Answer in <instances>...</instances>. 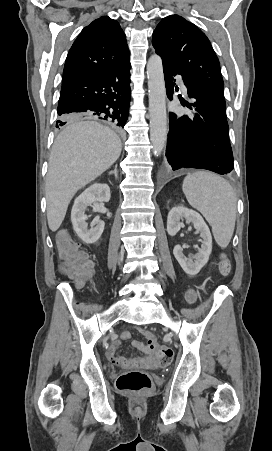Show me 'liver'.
Instances as JSON below:
<instances>
[{"mask_svg": "<svg viewBox=\"0 0 272 451\" xmlns=\"http://www.w3.org/2000/svg\"><path fill=\"white\" fill-rule=\"evenodd\" d=\"M90 118L73 116L52 146L46 180L48 226L56 231L80 188H84L118 160L119 136Z\"/></svg>", "mask_w": 272, "mask_h": 451, "instance_id": "obj_1", "label": "liver"}]
</instances>
